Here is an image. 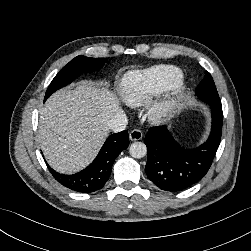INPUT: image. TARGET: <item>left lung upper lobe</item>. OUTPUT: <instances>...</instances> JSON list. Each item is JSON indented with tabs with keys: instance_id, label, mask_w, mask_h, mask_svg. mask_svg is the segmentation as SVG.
I'll return each instance as SVG.
<instances>
[{
	"instance_id": "1",
	"label": "left lung upper lobe",
	"mask_w": 251,
	"mask_h": 251,
	"mask_svg": "<svg viewBox=\"0 0 251 251\" xmlns=\"http://www.w3.org/2000/svg\"><path fill=\"white\" fill-rule=\"evenodd\" d=\"M195 93L199 99L208 104L221 103L215 83L209 72H206L204 79L198 85Z\"/></svg>"
}]
</instances>
